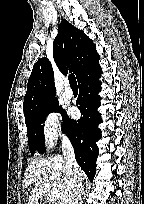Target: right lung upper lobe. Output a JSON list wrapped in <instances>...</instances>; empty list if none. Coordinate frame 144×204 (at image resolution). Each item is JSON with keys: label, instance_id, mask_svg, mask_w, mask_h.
<instances>
[{"label": "right lung upper lobe", "instance_id": "right-lung-upper-lobe-1", "mask_svg": "<svg viewBox=\"0 0 144 204\" xmlns=\"http://www.w3.org/2000/svg\"><path fill=\"white\" fill-rule=\"evenodd\" d=\"M53 57L59 70L65 74H82L99 62L93 41L68 21L62 20L53 43ZM54 73L47 58L39 59L32 69L24 96V115L28 118L46 104L56 100Z\"/></svg>", "mask_w": 144, "mask_h": 204}]
</instances>
